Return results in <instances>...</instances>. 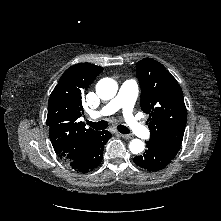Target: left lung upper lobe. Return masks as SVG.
I'll return each instance as SVG.
<instances>
[{
  "label": "left lung upper lobe",
  "instance_id": "1",
  "mask_svg": "<svg viewBox=\"0 0 221 221\" xmlns=\"http://www.w3.org/2000/svg\"><path fill=\"white\" fill-rule=\"evenodd\" d=\"M136 72L141 87V109L149 114L147 124L151 138L147 144L175 157L187 122L182 89L154 59L144 58L137 62Z\"/></svg>",
  "mask_w": 221,
  "mask_h": 221
}]
</instances>
